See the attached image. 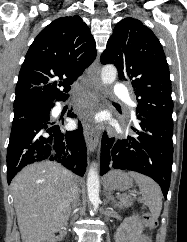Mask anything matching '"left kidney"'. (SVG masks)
Returning <instances> with one entry per match:
<instances>
[{"label":"left kidney","instance_id":"1","mask_svg":"<svg viewBox=\"0 0 187 242\" xmlns=\"http://www.w3.org/2000/svg\"><path fill=\"white\" fill-rule=\"evenodd\" d=\"M143 231V225L137 215L125 219L124 223L118 227L115 240L116 242H137V238Z\"/></svg>","mask_w":187,"mask_h":242}]
</instances>
